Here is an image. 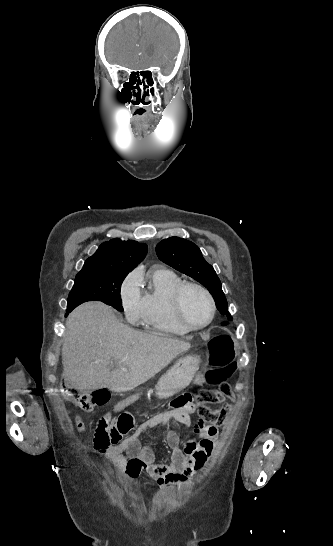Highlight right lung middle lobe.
Returning a JSON list of instances; mask_svg holds the SVG:
<instances>
[{
	"mask_svg": "<svg viewBox=\"0 0 333 546\" xmlns=\"http://www.w3.org/2000/svg\"><path fill=\"white\" fill-rule=\"evenodd\" d=\"M131 270L108 267L92 268L77 275L68 297L67 312L87 301H101L123 311L120 298L121 284Z\"/></svg>",
	"mask_w": 333,
	"mask_h": 546,
	"instance_id": "dd1d6c3e",
	"label": "right lung middle lobe"
}]
</instances>
